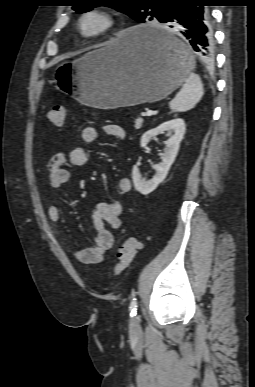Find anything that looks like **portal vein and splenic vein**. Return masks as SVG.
<instances>
[{
	"label": "portal vein and splenic vein",
	"mask_w": 255,
	"mask_h": 387,
	"mask_svg": "<svg viewBox=\"0 0 255 387\" xmlns=\"http://www.w3.org/2000/svg\"><path fill=\"white\" fill-rule=\"evenodd\" d=\"M154 114V111L148 110L145 114V116H152Z\"/></svg>",
	"instance_id": "obj_1"
}]
</instances>
